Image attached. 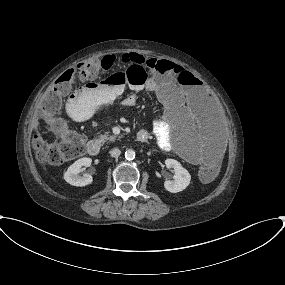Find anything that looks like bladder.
<instances>
[{"mask_svg":"<svg viewBox=\"0 0 285 285\" xmlns=\"http://www.w3.org/2000/svg\"><path fill=\"white\" fill-rule=\"evenodd\" d=\"M178 153L180 156H186V150L184 148H178Z\"/></svg>","mask_w":285,"mask_h":285,"instance_id":"31cf9c89","label":"bladder"}]
</instances>
